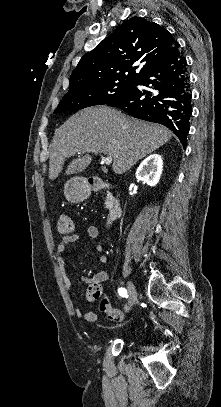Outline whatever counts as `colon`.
Segmentation results:
<instances>
[{"instance_id": "5ec220e1", "label": "colon", "mask_w": 221, "mask_h": 407, "mask_svg": "<svg viewBox=\"0 0 221 407\" xmlns=\"http://www.w3.org/2000/svg\"><path fill=\"white\" fill-rule=\"evenodd\" d=\"M57 232L61 235H67L73 230V224L70 217L66 214H62L57 221ZM101 298V285L96 282H92L88 289V301L94 302ZM100 310L106 313L109 320L114 322H121L123 319V313L119 309L112 308L109 301L105 298L100 301Z\"/></svg>"}]
</instances>
